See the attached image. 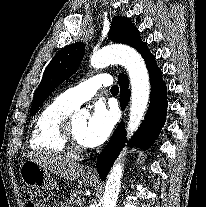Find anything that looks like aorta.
<instances>
[{"label":"aorta","instance_id":"1","mask_svg":"<svg viewBox=\"0 0 206 207\" xmlns=\"http://www.w3.org/2000/svg\"><path fill=\"white\" fill-rule=\"evenodd\" d=\"M94 68H103L110 64L123 65L129 74L132 93L128 138L136 131L147 110L150 94L149 75L141 55L131 47L109 46L95 52L90 60ZM123 166L119 159L112 167L105 184L102 207H116L121 187Z\"/></svg>","mask_w":206,"mask_h":207}]
</instances>
